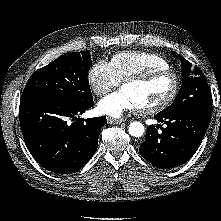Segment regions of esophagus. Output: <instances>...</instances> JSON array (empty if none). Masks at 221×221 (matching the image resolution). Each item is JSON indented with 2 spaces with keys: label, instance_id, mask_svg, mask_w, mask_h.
Wrapping results in <instances>:
<instances>
[{
  "label": "esophagus",
  "instance_id": "obj_1",
  "mask_svg": "<svg viewBox=\"0 0 221 221\" xmlns=\"http://www.w3.org/2000/svg\"><path fill=\"white\" fill-rule=\"evenodd\" d=\"M124 120H122V119H114V118H111V117H109V118H107V122H108V124H121L122 122H123Z\"/></svg>",
  "mask_w": 221,
  "mask_h": 221
}]
</instances>
